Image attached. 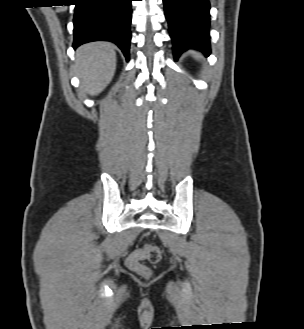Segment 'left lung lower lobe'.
<instances>
[{"mask_svg":"<svg viewBox=\"0 0 304 329\" xmlns=\"http://www.w3.org/2000/svg\"><path fill=\"white\" fill-rule=\"evenodd\" d=\"M173 41L174 59L193 48L210 53L209 0H163Z\"/></svg>","mask_w":304,"mask_h":329,"instance_id":"0a47b994","label":"left lung lower lobe"}]
</instances>
